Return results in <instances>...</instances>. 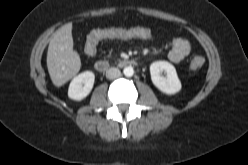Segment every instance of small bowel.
<instances>
[{
    "label": "small bowel",
    "mask_w": 248,
    "mask_h": 165,
    "mask_svg": "<svg viewBox=\"0 0 248 165\" xmlns=\"http://www.w3.org/2000/svg\"><path fill=\"white\" fill-rule=\"evenodd\" d=\"M129 35L122 37L124 39H149L152 37V33L148 28L145 27H133L125 29ZM137 31H145L146 35L136 34ZM90 40V35L87 38V42ZM86 42V43H87ZM99 44V43H98ZM192 52L191 42L186 37H175L171 41L168 58L173 63H180Z\"/></svg>",
    "instance_id": "small-bowel-1"
}]
</instances>
